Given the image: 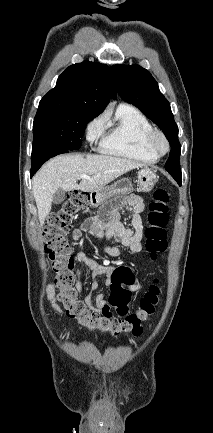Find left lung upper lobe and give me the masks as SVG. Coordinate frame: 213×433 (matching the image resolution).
<instances>
[{"label":"left lung upper lobe","mask_w":213,"mask_h":433,"mask_svg":"<svg viewBox=\"0 0 213 433\" xmlns=\"http://www.w3.org/2000/svg\"><path fill=\"white\" fill-rule=\"evenodd\" d=\"M112 73L117 92L128 103H132L163 131L172 146L165 169L177 181H182L180 170L181 145L178 127L171 112L170 103L160 92L152 75L139 65H114Z\"/></svg>","instance_id":"1"}]
</instances>
